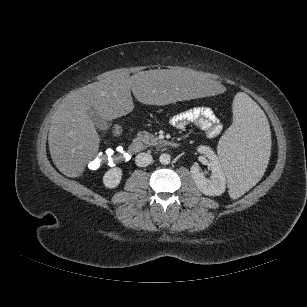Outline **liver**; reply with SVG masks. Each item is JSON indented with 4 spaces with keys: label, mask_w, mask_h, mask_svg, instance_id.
<instances>
[{
    "label": "liver",
    "mask_w": 307,
    "mask_h": 307,
    "mask_svg": "<svg viewBox=\"0 0 307 307\" xmlns=\"http://www.w3.org/2000/svg\"><path fill=\"white\" fill-rule=\"evenodd\" d=\"M224 90L222 83L189 68L112 74L71 91L55 111L48 135L51 158L65 176H80L100 143L88 111L94 108L106 120L124 116L134 108L131 91L143 104L163 106Z\"/></svg>",
    "instance_id": "1"
}]
</instances>
